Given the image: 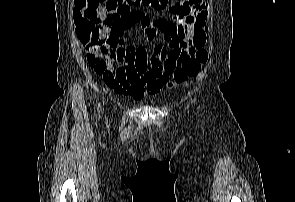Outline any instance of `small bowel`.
Listing matches in <instances>:
<instances>
[{
	"mask_svg": "<svg viewBox=\"0 0 295 202\" xmlns=\"http://www.w3.org/2000/svg\"><path fill=\"white\" fill-rule=\"evenodd\" d=\"M74 4L78 15L90 23H100L107 16L100 0H75ZM153 8L166 14L151 21L145 11L135 8L129 16L115 19L111 28L103 29L111 35L107 47L87 48V62L95 73L115 92L136 99L159 92L169 79L167 65L176 63L181 53L202 46L208 31L205 0H174ZM135 25L141 26L150 50L127 39ZM111 62L117 65L109 67Z\"/></svg>",
	"mask_w": 295,
	"mask_h": 202,
	"instance_id": "1",
	"label": "small bowel"
}]
</instances>
